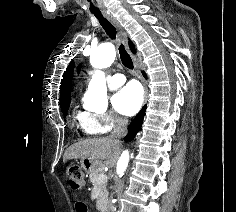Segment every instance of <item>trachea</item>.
Masks as SVG:
<instances>
[{
	"mask_svg": "<svg viewBox=\"0 0 236 212\" xmlns=\"http://www.w3.org/2000/svg\"><path fill=\"white\" fill-rule=\"evenodd\" d=\"M93 14L99 20L101 26L103 27V29L105 30L107 35L112 40H115L116 39V28L102 15L101 12H93ZM119 54H120V58H121L123 65L125 67H127L128 69H133L134 66H133L132 59H131L130 55L127 53L123 44H121L119 46Z\"/></svg>",
	"mask_w": 236,
	"mask_h": 212,
	"instance_id": "3493384b",
	"label": "trachea"
}]
</instances>
